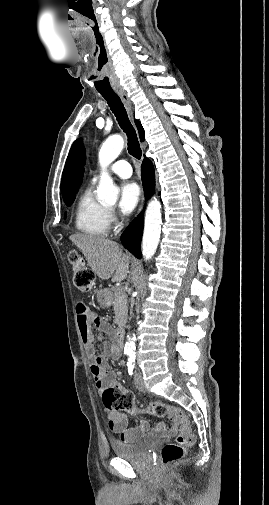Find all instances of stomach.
Here are the masks:
<instances>
[{"label": "stomach", "mask_w": 269, "mask_h": 505, "mask_svg": "<svg viewBox=\"0 0 269 505\" xmlns=\"http://www.w3.org/2000/svg\"><path fill=\"white\" fill-rule=\"evenodd\" d=\"M99 302L101 305L106 306L108 304L107 299L104 297V291L99 293Z\"/></svg>", "instance_id": "stomach-1"}]
</instances>
